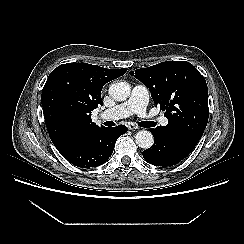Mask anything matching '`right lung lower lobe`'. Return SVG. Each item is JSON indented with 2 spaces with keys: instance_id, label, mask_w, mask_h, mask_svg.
<instances>
[{
  "instance_id": "right-lung-lower-lobe-1",
  "label": "right lung lower lobe",
  "mask_w": 244,
  "mask_h": 244,
  "mask_svg": "<svg viewBox=\"0 0 244 244\" xmlns=\"http://www.w3.org/2000/svg\"><path fill=\"white\" fill-rule=\"evenodd\" d=\"M124 125L103 128L91 135L68 140L58 151L72 164L82 168L96 167L112 155L116 140L126 133Z\"/></svg>"
}]
</instances>
